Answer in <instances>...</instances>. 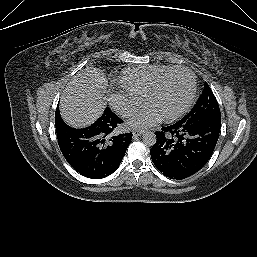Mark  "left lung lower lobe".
<instances>
[{
    "label": "left lung lower lobe",
    "mask_w": 257,
    "mask_h": 257,
    "mask_svg": "<svg viewBox=\"0 0 257 257\" xmlns=\"http://www.w3.org/2000/svg\"><path fill=\"white\" fill-rule=\"evenodd\" d=\"M221 119L191 122L179 120L155 132L150 150L156 168L164 176L181 180L198 172L210 159L220 133Z\"/></svg>",
    "instance_id": "left-lung-lower-lobe-1"
}]
</instances>
